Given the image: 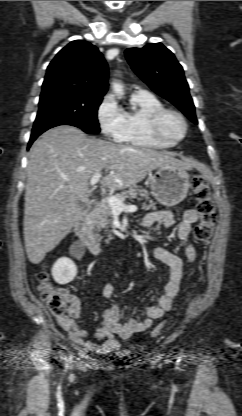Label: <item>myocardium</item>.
<instances>
[{
  "label": "myocardium",
  "instance_id": "myocardium-1",
  "mask_svg": "<svg viewBox=\"0 0 242 416\" xmlns=\"http://www.w3.org/2000/svg\"><path fill=\"white\" fill-rule=\"evenodd\" d=\"M167 115H174L180 120L183 126V132L180 137L170 138L167 135H165L164 132L162 131L161 123L163 119L165 118V116ZM148 128L152 136H154L156 139H158L159 141L171 144V145L181 142L185 138L187 131H188V125H187V121L184 115L175 109L165 108V107L154 111L150 115L149 120H148Z\"/></svg>",
  "mask_w": 242,
  "mask_h": 416
}]
</instances>
